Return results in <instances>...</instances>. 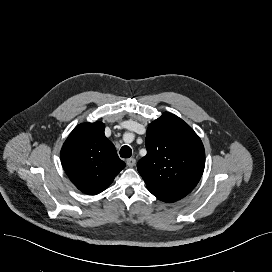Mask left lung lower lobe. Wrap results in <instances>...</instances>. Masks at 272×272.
<instances>
[{
  "mask_svg": "<svg viewBox=\"0 0 272 272\" xmlns=\"http://www.w3.org/2000/svg\"><path fill=\"white\" fill-rule=\"evenodd\" d=\"M154 196H156L159 200H162L164 202H175L182 197L177 196L175 194L167 193V192H162V191H157V190H149Z\"/></svg>",
  "mask_w": 272,
  "mask_h": 272,
  "instance_id": "left-lung-lower-lobe-1",
  "label": "left lung lower lobe"
}]
</instances>
